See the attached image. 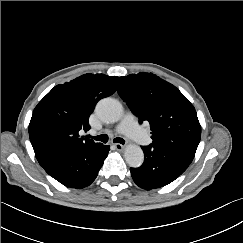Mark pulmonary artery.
Returning a JSON list of instances; mask_svg holds the SVG:
<instances>
[{
	"mask_svg": "<svg viewBox=\"0 0 243 243\" xmlns=\"http://www.w3.org/2000/svg\"><path fill=\"white\" fill-rule=\"evenodd\" d=\"M116 131L127 135L129 138L140 141L145 137L144 131L138 126L134 116L127 113L121 123L117 126Z\"/></svg>",
	"mask_w": 243,
	"mask_h": 243,
	"instance_id": "pulmonary-artery-1",
	"label": "pulmonary artery"
}]
</instances>
